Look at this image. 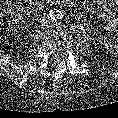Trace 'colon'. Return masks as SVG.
<instances>
[{"label": "colon", "mask_w": 118, "mask_h": 118, "mask_svg": "<svg viewBox=\"0 0 118 118\" xmlns=\"http://www.w3.org/2000/svg\"><path fill=\"white\" fill-rule=\"evenodd\" d=\"M32 0H4L1 8L0 17L9 18L12 16H21L31 10Z\"/></svg>", "instance_id": "1"}]
</instances>
